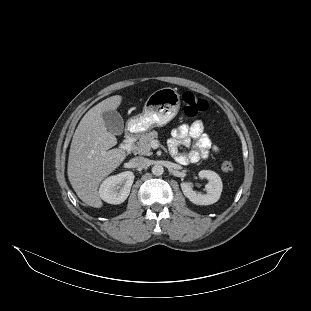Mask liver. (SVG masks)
Instances as JSON below:
<instances>
[{
    "instance_id": "6515ba94",
    "label": "liver",
    "mask_w": 311,
    "mask_h": 311,
    "mask_svg": "<svg viewBox=\"0 0 311 311\" xmlns=\"http://www.w3.org/2000/svg\"><path fill=\"white\" fill-rule=\"evenodd\" d=\"M121 95H114L92 107L81 119L72 138L68 158V178L77 196L88 206L102 207L99 183L126 158L117 138L107 130L103 112L116 110Z\"/></svg>"
}]
</instances>
